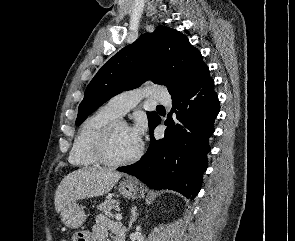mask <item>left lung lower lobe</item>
I'll return each mask as SVG.
<instances>
[{
    "label": "left lung lower lobe",
    "instance_id": "left-lung-lower-lobe-1",
    "mask_svg": "<svg viewBox=\"0 0 295 241\" xmlns=\"http://www.w3.org/2000/svg\"><path fill=\"white\" fill-rule=\"evenodd\" d=\"M219 110L214 80L209 74L197 78L186 90L172 95L164 138L153 137L159 117L150 129L147 152L138 162L117 170L137 177L152 189H171L194 199L207 169L208 141Z\"/></svg>",
    "mask_w": 295,
    "mask_h": 241
}]
</instances>
